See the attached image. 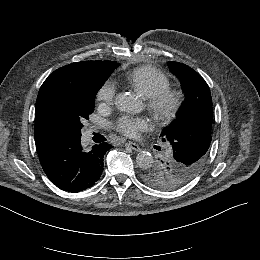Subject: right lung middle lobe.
Instances as JSON below:
<instances>
[{"mask_svg":"<svg viewBox=\"0 0 260 260\" xmlns=\"http://www.w3.org/2000/svg\"><path fill=\"white\" fill-rule=\"evenodd\" d=\"M106 78L85 79L57 94L49 111V123L61 138L81 137L82 122L94 111L95 96Z\"/></svg>","mask_w":260,"mask_h":260,"instance_id":"obj_1","label":"right lung middle lobe"}]
</instances>
